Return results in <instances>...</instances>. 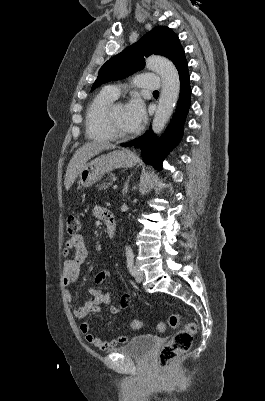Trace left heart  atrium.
I'll return each mask as SVG.
<instances>
[{"label": "left heart atrium", "instance_id": "obj_1", "mask_svg": "<svg viewBox=\"0 0 265 401\" xmlns=\"http://www.w3.org/2000/svg\"><path fill=\"white\" fill-rule=\"evenodd\" d=\"M125 118L132 130L138 129L146 118L145 107L141 99L134 97L125 106Z\"/></svg>", "mask_w": 265, "mask_h": 401}]
</instances>
